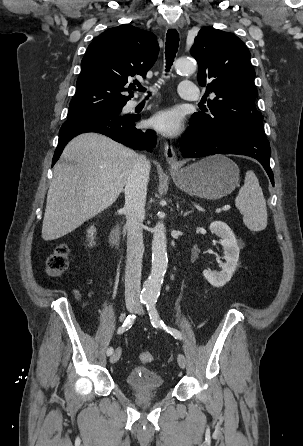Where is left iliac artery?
I'll return each instance as SVG.
<instances>
[{
  "label": "left iliac artery",
  "instance_id": "left-iliac-artery-1",
  "mask_svg": "<svg viewBox=\"0 0 303 446\" xmlns=\"http://www.w3.org/2000/svg\"><path fill=\"white\" fill-rule=\"evenodd\" d=\"M147 310L150 316L151 323L156 328H163L166 332L171 334L176 339H182V334L171 327H167L162 320L159 318V314L156 309V300L155 299H149L147 301Z\"/></svg>",
  "mask_w": 303,
  "mask_h": 446
}]
</instances>
